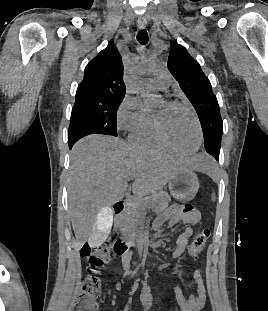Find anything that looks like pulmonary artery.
<instances>
[{
  "mask_svg": "<svg viewBox=\"0 0 268 311\" xmlns=\"http://www.w3.org/2000/svg\"><path fill=\"white\" fill-rule=\"evenodd\" d=\"M169 75L165 72L157 71L154 73V77L150 79V84L154 89L165 90L169 85Z\"/></svg>",
  "mask_w": 268,
  "mask_h": 311,
  "instance_id": "1",
  "label": "pulmonary artery"
}]
</instances>
